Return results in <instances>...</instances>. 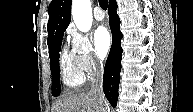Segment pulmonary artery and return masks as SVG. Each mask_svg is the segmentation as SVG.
I'll return each mask as SVG.
<instances>
[{"mask_svg":"<svg viewBox=\"0 0 193 112\" xmlns=\"http://www.w3.org/2000/svg\"><path fill=\"white\" fill-rule=\"evenodd\" d=\"M93 14H94V18L96 20H98V21L103 20L104 17H105V14H104V12L102 11V9L100 7H96L94 9V13Z\"/></svg>","mask_w":193,"mask_h":112,"instance_id":"pulmonary-artery-1","label":"pulmonary artery"}]
</instances>
